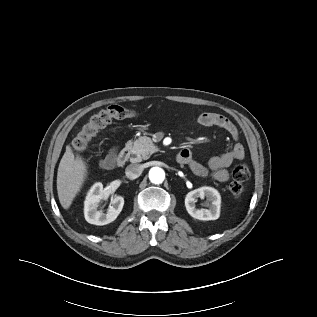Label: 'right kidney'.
I'll return each instance as SVG.
<instances>
[{
  "instance_id": "1",
  "label": "right kidney",
  "mask_w": 317,
  "mask_h": 317,
  "mask_svg": "<svg viewBox=\"0 0 317 317\" xmlns=\"http://www.w3.org/2000/svg\"><path fill=\"white\" fill-rule=\"evenodd\" d=\"M108 197L105 193L102 183H95L87 193L84 202V215L88 223L94 225H106L114 221L122 211L124 198L115 196L112 198V205L106 213L99 210V202Z\"/></svg>"
}]
</instances>
